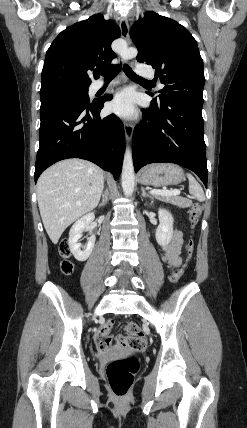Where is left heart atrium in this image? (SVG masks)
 Wrapping results in <instances>:
<instances>
[{
  "mask_svg": "<svg viewBox=\"0 0 247 428\" xmlns=\"http://www.w3.org/2000/svg\"><path fill=\"white\" fill-rule=\"evenodd\" d=\"M113 112L124 117H131L135 114L134 96L132 92L125 90L118 93L110 103Z\"/></svg>",
  "mask_w": 247,
  "mask_h": 428,
  "instance_id": "left-heart-atrium-1",
  "label": "left heart atrium"
}]
</instances>
